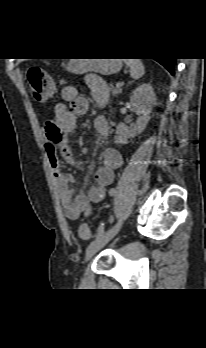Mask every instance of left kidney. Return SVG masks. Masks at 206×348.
I'll list each match as a JSON object with an SVG mask.
<instances>
[{
  "instance_id": "obj_1",
  "label": "left kidney",
  "mask_w": 206,
  "mask_h": 348,
  "mask_svg": "<svg viewBox=\"0 0 206 348\" xmlns=\"http://www.w3.org/2000/svg\"><path fill=\"white\" fill-rule=\"evenodd\" d=\"M130 103L139 111L141 116L132 128H128L124 123L118 124L115 132V143L119 145L126 144L129 138H134L145 130L150 120V113L156 105L153 87L149 83L137 87L130 97Z\"/></svg>"
}]
</instances>
